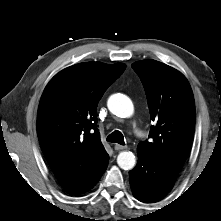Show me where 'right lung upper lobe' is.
<instances>
[{
	"mask_svg": "<svg viewBox=\"0 0 221 221\" xmlns=\"http://www.w3.org/2000/svg\"><path fill=\"white\" fill-rule=\"evenodd\" d=\"M126 65L98 62L68 67L46 86L38 108L41 149L59 183L75 191L107 167L109 155L97 129V105Z\"/></svg>",
	"mask_w": 221,
	"mask_h": 221,
	"instance_id": "obj_1",
	"label": "right lung upper lobe"
}]
</instances>
